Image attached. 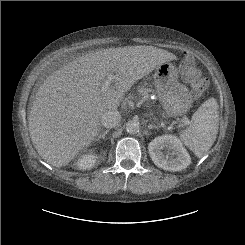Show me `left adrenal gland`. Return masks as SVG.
I'll use <instances>...</instances> for the list:
<instances>
[{
  "label": "left adrenal gland",
  "instance_id": "1",
  "mask_svg": "<svg viewBox=\"0 0 245 245\" xmlns=\"http://www.w3.org/2000/svg\"><path fill=\"white\" fill-rule=\"evenodd\" d=\"M148 128H149V129H153V128H158V126L149 124V125H148Z\"/></svg>",
  "mask_w": 245,
  "mask_h": 245
}]
</instances>
